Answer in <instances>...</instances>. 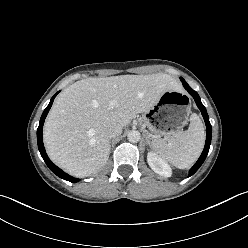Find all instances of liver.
Masks as SVG:
<instances>
[{
    "label": "liver",
    "mask_w": 248,
    "mask_h": 248,
    "mask_svg": "<svg viewBox=\"0 0 248 248\" xmlns=\"http://www.w3.org/2000/svg\"><path fill=\"white\" fill-rule=\"evenodd\" d=\"M178 89V82L164 73L89 77L73 83L56 98L44 124L50 159L73 176L94 174L109 158L107 127H125L136 114L150 110L164 92Z\"/></svg>",
    "instance_id": "1"
}]
</instances>
